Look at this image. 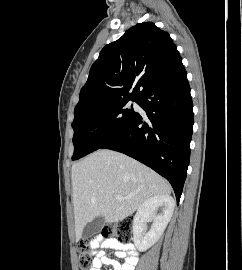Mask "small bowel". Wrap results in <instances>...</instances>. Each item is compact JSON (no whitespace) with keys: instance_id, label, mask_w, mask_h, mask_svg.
Here are the masks:
<instances>
[{"instance_id":"obj_1","label":"small bowel","mask_w":242,"mask_h":270,"mask_svg":"<svg viewBox=\"0 0 242 270\" xmlns=\"http://www.w3.org/2000/svg\"><path fill=\"white\" fill-rule=\"evenodd\" d=\"M93 249H99L93 260L91 270H102L104 265H110L113 270H135L138 253L132 243H123L114 239H99L92 243ZM104 248L115 251L114 258L105 254ZM117 259H123L124 263H119Z\"/></svg>"}]
</instances>
